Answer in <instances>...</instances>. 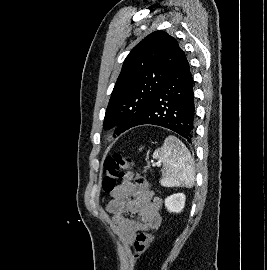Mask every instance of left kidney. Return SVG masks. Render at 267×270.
<instances>
[{"mask_svg":"<svg viewBox=\"0 0 267 270\" xmlns=\"http://www.w3.org/2000/svg\"><path fill=\"white\" fill-rule=\"evenodd\" d=\"M185 200L183 193L173 194L165 199V207L170 213H180L184 209Z\"/></svg>","mask_w":267,"mask_h":270,"instance_id":"1","label":"left kidney"}]
</instances>
